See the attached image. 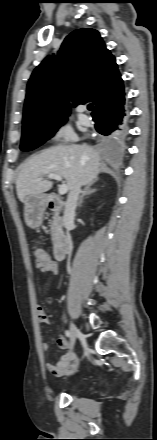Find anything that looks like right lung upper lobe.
Wrapping results in <instances>:
<instances>
[{
	"label": "right lung upper lobe",
	"mask_w": 157,
	"mask_h": 440,
	"mask_svg": "<svg viewBox=\"0 0 157 440\" xmlns=\"http://www.w3.org/2000/svg\"><path fill=\"white\" fill-rule=\"evenodd\" d=\"M123 80L113 55L97 30L81 28L47 56L27 85L23 126L65 119L72 106L93 102L94 111L123 95Z\"/></svg>",
	"instance_id": "cb5924a9"
}]
</instances>
